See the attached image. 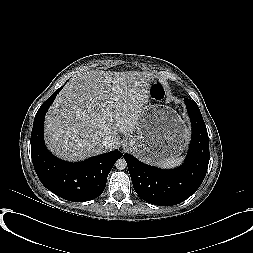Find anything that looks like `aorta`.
<instances>
[{"mask_svg": "<svg viewBox=\"0 0 253 253\" xmlns=\"http://www.w3.org/2000/svg\"><path fill=\"white\" fill-rule=\"evenodd\" d=\"M115 166L118 170H124L127 167V162L124 158H120L116 161Z\"/></svg>", "mask_w": 253, "mask_h": 253, "instance_id": "aorta-1", "label": "aorta"}]
</instances>
